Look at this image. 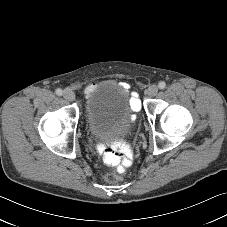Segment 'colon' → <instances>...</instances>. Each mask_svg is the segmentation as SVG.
<instances>
[{"mask_svg":"<svg viewBox=\"0 0 227 227\" xmlns=\"http://www.w3.org/2000/svg\"><path fill=\"white\" fill-rule=\"evenodd\" d=\"M124 157V153L114 150V149H109L105 153V162L109 165H116L117 163L121 162ZM105 180L108 183H116L119 182L122 179V176L119 172H116L114 170H109L105 176Z\"/></svg>","mask_w":227,"mask_h":227,"instance_id":"colon-1","label":"colon"}]
</instances>
